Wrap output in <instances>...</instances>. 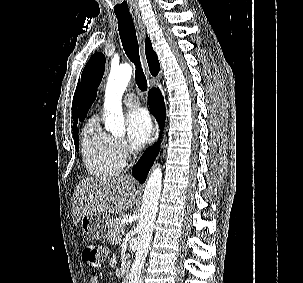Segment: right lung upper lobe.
Returning <instances> with one entry per match:
<instances>
[{
    "instance_id": "right-lung-upper-lobe-1",
    "label": "right lung upper lobe",
    "mask_w": 303,
    "mask_h": 283,
    "mask_svg": "<svg viewBox=\"0 0 303 283\" xmlns=\"http://www.w3.org/2000/svg\"><path fill=\"white\" fill-rule=\"evenodd\" d=\"M145 53H146V58L148 61L149 69L152 75H157L158 71L160 69V64L157 58L156 53L154 52L152 48L151 41L148 37H146V42H145ZM78 91H79V83L77 85V89L74 94L73 98V103H72V117L75 123H77V97H78ZM76 124H74L73 128H76Z\"/></svg>"
}]
</instances>
